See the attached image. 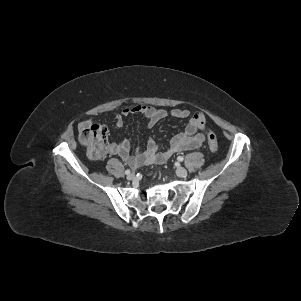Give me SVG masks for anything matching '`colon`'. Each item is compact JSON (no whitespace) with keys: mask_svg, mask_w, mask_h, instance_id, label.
Here are the masks:
<instances>
[{"mask_svg":"<svg viewBox=\"0 0 301 301\" xmlns=\"http://www.w3.org/2000/svg\"><path fill=\"white\" fill-rule=\"evenodd\" d=\"M204 133L209 149L212 152H216L218 150V141L215 133L210 128H205ZM107 136L108 129L103 124L87 122L80 128V141L86 147L90 159L98 160L105 155L108 146Z\"/></svg>","mask_w":301,"mask_h":301,"instance_id":"colon-1","label":"colon"}]
</instances>
